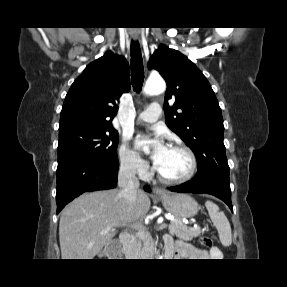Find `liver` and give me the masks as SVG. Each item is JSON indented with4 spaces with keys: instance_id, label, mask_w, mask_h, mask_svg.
<instances>
[{
    "instance_id": "obj_1",
    "label": "liver",
    "mask_w": 287,
    "mask_h": 287,
    "mask_svg": "<svg viewBox=\"0 0 287 287\" xmlns=\"http://www.w3.org/2000/svg\"><path fill=\"white\" fill-rule=\"evenodd\" d=\"M148 195L139 190L129 204L121 190L85 193L61 212L59 240L62 259H93L116 235L117 226L143 219L150 209ZM112 226L106 231L107 227Z\"/></svg>"
}]
</instances>
